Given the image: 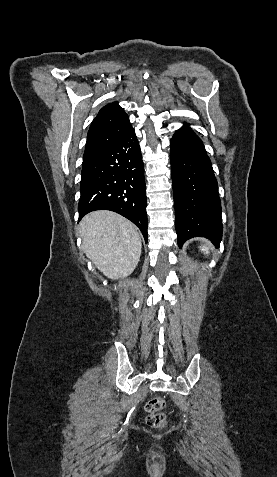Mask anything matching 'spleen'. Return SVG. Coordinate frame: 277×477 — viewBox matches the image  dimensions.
Segmentation results:
<instances>
[{
    "label": "spleen",
    "mask_w": 277,
    "mask_h": 477,
    "mask_svg": "<svg viewBox=\"0 0 277 477\" xmlns=\"http://www.w3.org/2000/svg\"><path fill=\"white\" fill-rule=\"evenodd\" d=\"M200 250H201L202 252H204V254H205V253L208 254V252H209V246L206 245V246L200 247Z\"/></svg>",
    "instance_id": "3e777b00"
}]
</instances>
